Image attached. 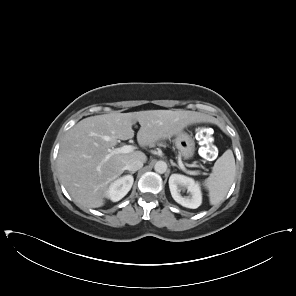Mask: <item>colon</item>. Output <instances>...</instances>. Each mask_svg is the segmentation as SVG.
Listing matches in <instances>:
<instances>
[{"instance_id":"1","label":"colon","mask_w":296,"mask_h":296,"mask_svg":"<svg viewBox=\"0 0 296 296\" xmlns=\"http://www.w3.org/2000/svg\"><path fill=\"white\" fill-rule=\"evenodd\" d=\"M196 136L202 145L200 150L202 157L205 159H213L217 151L209 130L204 126H200L196 129Z\"/></svg>"}]
</instances>
